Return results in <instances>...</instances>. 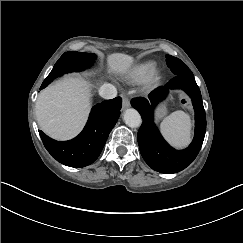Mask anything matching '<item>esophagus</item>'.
Here are the masks:
<instances>
[{
  "instance_id": "obj_1",
  "label": "esophagus",
  "mask_w": 243,
  "mask_h": 243,
  "mask_svg": "<svg viewBox=\"0 0 243 243\" xmlns=\"http://www.w3.org/2000/svg\"><path fill=\"white\" fill-rule=\"evenodd\" d=\"M130 107V101L127 97H123V109Z\"/></svg>"
}]
</instances>
